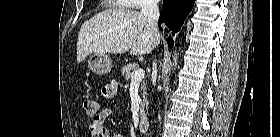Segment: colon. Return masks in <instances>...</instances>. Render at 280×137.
Masks as SVG:
<instances>
[{"instance_id": "obj_1", "label": "colon", "mask_w": 280, "mask_h": 137, "mask_svg": "<svg viewBox=\"0 0 280 137\" xmlns=\"http://www.w3.org/2000/svg\"><path fill=\"white\" fill-rule=\"evenodd\" d=\"M83 109L88 116L95 117L99 113L98 102L95 99L86 98L83 100ZM98 136L99 135L97 133L90 134V137Z\"/></svg>"}]
</instances>
